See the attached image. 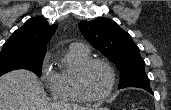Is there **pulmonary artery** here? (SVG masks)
I'll use <instances>...</instances> for the list:
<instances>
[{"label":"pulmonary artery","mask_w":171,"mask_h":110,"mask_svg":"<svg viewBox=\"0 0 171 110\" xmlns=\"http://www.w3.org/2000/svg\"><path fill=\"white\" fill-rule=\"evenodd\" d=\"M75 45H78V46H80V47H82V48H84V49L89 50L88 46H87V45H85V44H82V43H76Z\"/></svg>","instance_id":"obj_1"}]
</instances>
